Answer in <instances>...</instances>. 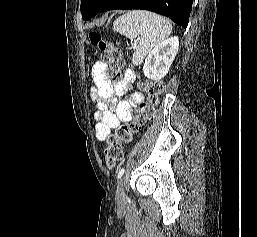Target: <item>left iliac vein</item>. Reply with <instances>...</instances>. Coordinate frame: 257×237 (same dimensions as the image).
<instances>
[{"label": "left iliac vein", "instance_id": "obj_1", "mask_svg": "<svg viewBox=\"0 0 257 237\" xmlns=\"http://www.w3.org/2000/svg\"><path fill=\"white\" fill-rule=\"evenodd\" d=\"M116 199L118 201H123L125 199V193H124V179H120L117 184L116 189Z\"/></svg>", "mask_w": 257, "mask_h": 237}]
</instances>
